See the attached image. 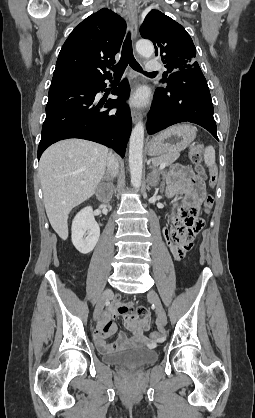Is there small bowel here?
<instances>
[{
    "label": "small bowel",
    "mask_w": 255,
    "mask_h": 418,
    "mask_svg": "<svg viewBox=\"0 0 255 418\" xmlns=\"http://www.w3.org/2000/svg\"><path fill=\"white\" fill-rule=\"evenodd\" d=\"M167 195L182 197L183 204L173 219L176 224L186 217L190 208H199L205 196V186L203 181L190 169L176 167L168 176ZM163 233L169 245L168 255L173 256L174 261H185L189 249H194V240L198 236V229L171 227L165 228ZM118 316L123 318L125 327L132 332L133 336L127 338L124 333H119L116 341L109 343L107 339L116 331L114 320ZM150 322L151 315L147 309L143 307L134 309L131 302L125 303L121 299H117L101 316L93 338L97 347L103 352L123 349L130 345L140 344L143 333L148 329Z\"/></svg>",
    "instance_id": "c3829d8e"
}]
</instances>
